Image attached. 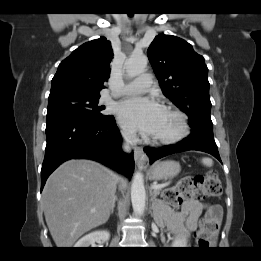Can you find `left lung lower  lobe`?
<instances>
[{"label":"left lung lower lobe","instance_id":"1","mask_svg":"<svg viewBox=\"0 0 261 261\" xmlns=\"http://www.w3.org/2000/svg\"><path fill=\"white\" fill-rule=\"evenodd\" d=\"M188 150H199L209 153L221 162L213 136V127L209 126L193 127L191 134L177 144L169 145L165 148H144V151L148 155L151 163L164 156Z\"/></svg>","mask_w":261,"mask_h":261}]
</instances>
